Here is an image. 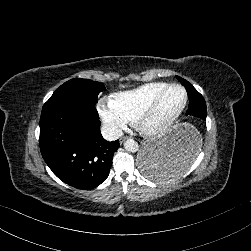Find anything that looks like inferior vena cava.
<instances>
[{
    "label": "inferior vena cava",
    "instance_id": "obj_1",
    "mask_svg": "<svg viewBox=\"0 0 251 251\" xmlns=\"http://www.w3.org/2000/svg\"><path fill=\"white\" fill-rule=\"evenodd\" d=\"M101 134L103 138L106 139L107 141H115L121 136H123V131L115 125L104 124L101 127Z\"/></svg>",
    "mask_w": 251,
    "mask_h": 251
}]
</instances>
